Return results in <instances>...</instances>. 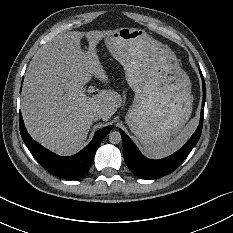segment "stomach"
<instances>
[{
  "label": "stomach",
  "mask_w": 233,
  "mask_h": 233,
  "mask_svg": "<svg viewBox=\"0 0 233 233\" xmlns=\"http://www.w3.org/2000/svg\"><path fill=\"white\" fill-rule=\"evenodd\" d=\"M103 44L135 92L125 118L129 129L143 147L167 144L182 131L193 106L191 80L176 55L139 28H116Z\"/></svg>",
  "instance_id": "0dacf381"
}]
</instances>
